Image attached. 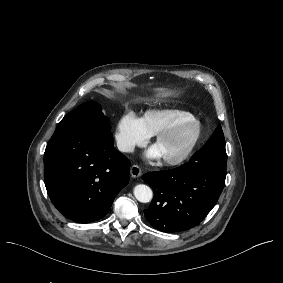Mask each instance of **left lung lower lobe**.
<instances>
[{"instance_id":"1","label":"left lung lower lobe","mask_w":283,"mask_h":283,"mask_svg":"<svg viewBox=\"0 0 283 283\" xmlns=\"http://www.w3.org/2000/svg\"><path fill=\"white\" fill-rule=\"evenodd\" d=\"M226 164L225 144L210 142L178 168L144 174L154 190L151 206L144 210L147 221L167 233L199 224L224 188Z\"/></svg>"}]
</instances>
